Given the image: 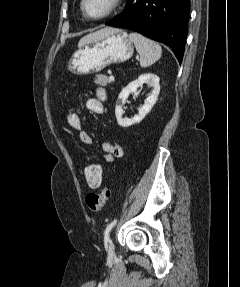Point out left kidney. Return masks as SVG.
Masks as SVG:
<instances>
[{"label": "left kidney", "mask_w": 240, "mask_h": 287, "mask_svg": "<svg viewBox=\"0 0 240 287\" xmlns=\"http://www.w3.org/2000/svg\"><path fill=\"white\" fill-rule=\"evenodd\" d=\"M144 83H147L153 87L152 93L147 97L144 102V105L139 109V113L133 118H123L124 113L122 107L126 102L130 93H134L138 87L142 86ZM160 93L159 77L153 73L142 74L138 79L129 83L125 88L122 89L118 96L117 104L115 107V115L117 122L121 127H129L133 124L140 123L145 116L151 111L152 107L157 101L158 95Z\"/></svg>", "instance_id": "5707ae66"}]
</instances>
